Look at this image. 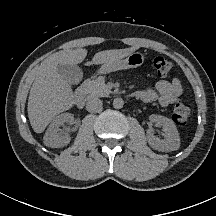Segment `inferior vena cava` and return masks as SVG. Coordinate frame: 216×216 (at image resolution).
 <instances>
[{
  "mask_svg": "<svg viewBox=\"0 0 216 216\" xmlns=\"http://www.w3.org/2000/svg\"><path fill=\"white\" fill-rule=\"evenodd\" d=\"M86 109L91 113L99 112L102 109V101L98 98H90L87 101Z\"/></svg>",
  "mask_w": 216,
  "mask_h": 216,
  "instance_id": "obj_1",
  "label": "inferior vena cava"
}]
</instances>
